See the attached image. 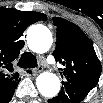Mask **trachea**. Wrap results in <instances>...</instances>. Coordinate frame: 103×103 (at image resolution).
I'll return each instance as SVG.
<instances>
[{"label": "trachea", "instance_id": "3493384b", "mask_svg": "<svg viewBox=\"0 0 103 103\" xmlns=\"http://www.w3.org/2000/svg\"><path fill=\"white\" fill-rule=\"evenodd\" d=\"M18 66L22 68H34L37 67V60L31 52H25L21 55Z\"/></svg>", "mask_w": 103, "mask_h": 103}]
</instances>
